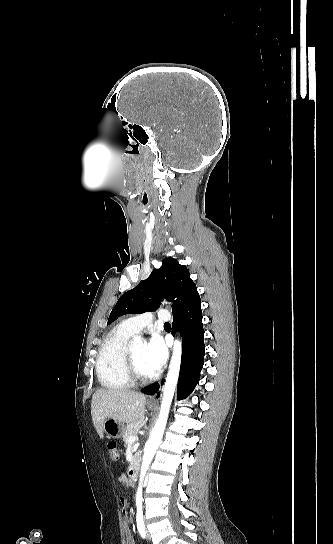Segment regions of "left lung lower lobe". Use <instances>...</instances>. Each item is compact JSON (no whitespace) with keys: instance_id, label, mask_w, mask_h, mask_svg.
Instances as JSON below:
<instances>
[{"instance_id":"obj_1","label":"left lung lower lobe","mask_w":333,"mask_h":544,"mask_svg":"<svg viewBox=\"0 0 333 544\" xmlns=\"http://www.w3.org/2000/svg\"><path fill=\"white\" fill-rule=\"evenodd\" d=\"M172 334L180 330L182 335V357L178 382V399L186 398L200 378V371L204 364V329L202 324L201 300L180 308L173 314ZM159 388V384H152L142 390L152 395ZM159 393L157 394V397Z\"/></svg>"}]
</instances>
